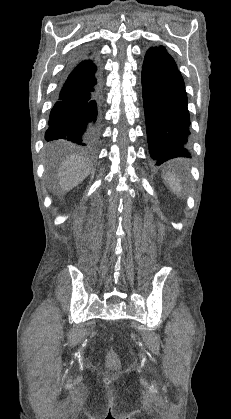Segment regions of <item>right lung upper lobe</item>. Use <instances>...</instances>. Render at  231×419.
<instances>
[{
	"label": "right lung upper lobe",
	"mask_w": 231,
	"mask_h": 419,
	"mask_svg": "<svg viewBox=\"0 0 231 419\" xmlns=\"http://www.w3.org/2000/svg\"><path fill=\"white\" fill-rule=\"evenodd\" d=\"M89 55L90 54H88V53H82L81 56H80V58L88 57Z\"/></svg>",
	"instance_id": "right-lung-upper-lobe-1"
}]
</instances>
